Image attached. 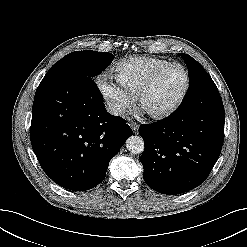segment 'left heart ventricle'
I'll use <instances>...</instances> for the list:
<instances>
[{"label":"left heart ventricle","instance_id":"b2bd125f","mask_svg":"<svg viewBox=\"0 0 247 247\" xmlns=\"http://www.w3.org/2000/svg\"><path fill=\"white\" fill-rule=\"evenodd\" d=\"M185 83L182 69L172 67L166 70L154 86L145 95L142 106L147 111H161L171 104L180 95Z\"/></svg>","mask_w":247,"mask_h":247}]
</instances>
